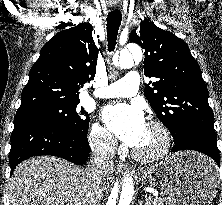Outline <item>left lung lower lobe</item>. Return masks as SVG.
I'll use <instances>...</instances> for the list:
<instances>
[{"label": "left lung lower lobe", "instance_id": "obj_1", "mask_svg": "<svg viewBox=\"0 0 222 205\" xmlns=\"http://www.w3.org/2000/svg\"><path fill=\"white\" fill-rule=\"evenodd\" d=\"M194 150L212 158L220 166L217 135L214 129L206 127H191L174 138L172 152Z\"/></svg>", "mask_w": 222, "mask_h": 205}]
</instances>
